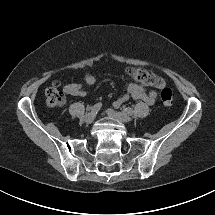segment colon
Returning <instances> with one entry per match:
<instances>
[{
  "instance_id": "1",
  "label": "colon",
  "mask_w": 215,
  "mask_h": 215,
  "mask_svg": "<svg viewBox=\"0 0 215 215\" xmlns=\"http://www.w3.org/2000/svg\"><path fill=\"white\" fill-rule=\"evenodd\" d=\"M127 74L134 80L151 87L162 88L161 101L165 106H171L173 104V94L171 89L164 87V80L154 74L153 72L143 69L130 67L127 69ZM46 103L49 106H59L65 101L64 94L57 88V86L50 87L45 93Z\"/></svg>"
}]
</instances>
